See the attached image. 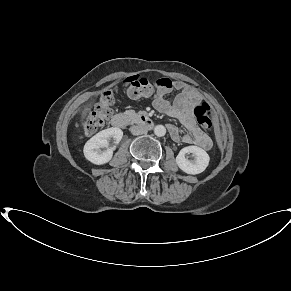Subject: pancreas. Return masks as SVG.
Segmentation results:
<instances>
[{"instance_id":"obj_1","label":"pancreas","mask_w":291,"mask_h":291,"mask_svg":"<svg viewBox=\"0 0 291 291\" xmlns=\"http://www.w3.org/2000/svg\"><path fill=\"white\" fill-rule=\"evenodd\" d=\"M143 114H144L143 111H140L138 113H136L134 110H126L125 111V115L128 116L132 122H135Z\"/></svg>"}]
</instances>
